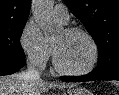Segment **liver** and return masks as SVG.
I'll return each mask as SVG.
<instances>
[{"label": "liver", "instance_id": "obj_1", "mask_svg": "<svg viewBox=\"0 0 119 95\" xmlns=\"http://www.w3.org/2000/svg\"><path fill=\"white\" fill-rule=\"evenodd\" d=\"M72 84L48 83L44 80H28L23 72L0 76V95H45L51 88H68Z\"/></svg>", "mask_w": 119, "mask_h": 95}]
</instances>
